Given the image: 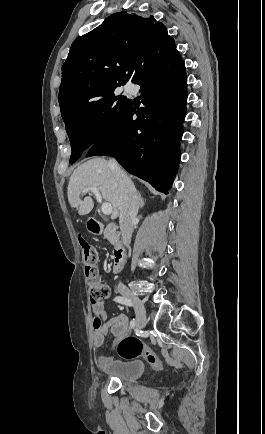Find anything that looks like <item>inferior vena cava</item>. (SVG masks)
<instances>
[{
    "mask_svg": "<svg viewBox=\"0 0 265 434\" xmlns=\"http://www.w3.org/2000/svg\"><path fill=\"white\" fill-rule=\"evenodd\" d=\"M109 166L115 174L121 194V208L119 214V226L124 246H129L133 232V226L137 220L139 210V198L130 178L121 170L115 160H110Z\"/></svg>",
    "mask_w": 265,
    "mask_h": 434,
    "instance_id": "inferior-vena-cava-1",
    "label": "inferior vena cava"
}]
</instances>
